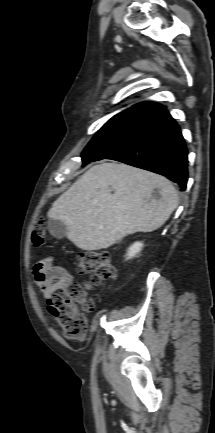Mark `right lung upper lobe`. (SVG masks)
Here are the masks:
<instances>
[{"mask_svg":"<svg viewBox=\"0 0 215 433\" xmlns=\"http://www.w3.org/2000/svg\"><path fill=\"white\" fill-rule=\"evenodd\" d=\"M165 107L156 103H138L119 114L115 115L111 119L120 118H143L149 120L155 114L163 110ZM110 119V120H111Z\"/></svg>","mask_w":215,"mask_h":433,"instance_id":"cb5924a9","label":"right lung upper lobe"}]
</instances>
